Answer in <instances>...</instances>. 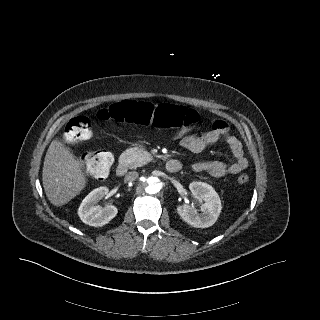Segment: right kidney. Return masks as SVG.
<instances>
[{
  "instance_id": "obj_1",
  "label": "right kidney",
  "mask_w": 320,
  "mask_h": 320,
  "mask_svg": "<svg viewBox=\"0 0 320 320\" xmlns=\"http://www.w3.org/2000/svg\"><path fill=\"white\" fill-rule=\"evenodd\" d=\"M107 187H99L91 191L82 201L78 209V215L82 222L94 227H101L109 223L118 213L114 205L101 207L97 203L108 196Z\"/></svg>"
}]
</instances>
